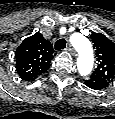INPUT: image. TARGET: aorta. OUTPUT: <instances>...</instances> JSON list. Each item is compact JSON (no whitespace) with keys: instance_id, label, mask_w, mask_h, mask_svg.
I'll use <instances>...</instances> for the list:
<instances>
[{"instance_id":"1","label":"aorta","mask_w":115,"mask_h":119,"mask_svg":"<svg viewBox=\"0 0 115 119\" xmlns=\"http://www.w3.org/2000/svg\"><path fill=\"white\" fill-rule=\"evenodd\" d=\"M70 42L78 52L77 68L82 76L90 74L93 63V49L90 41L81 34L75 33L70 37Z\"/></svg>"}]
</instances>
